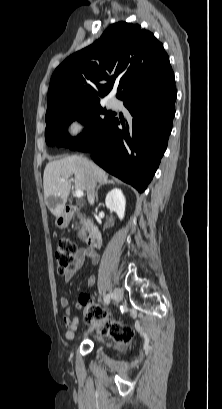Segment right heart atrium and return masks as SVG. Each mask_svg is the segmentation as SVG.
<instances>
[{
  "label": "right heart atrium",
  "mask_w": 222,
  "mask_h": 409,
  "mask_svg": "<svg viewBox=\"0 0 222 409\" xmlns=\"http://www.w3.org/2000/svg\"><path fill=\"white\" fill-rule=\"evenodd\" d=\"M86 127V121L81 117H76L70 121L68 125V132L70 135L75 136L82 133Z\"/></svg>",
  "instance_id": "1"
}]
</instances>
